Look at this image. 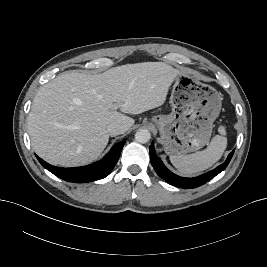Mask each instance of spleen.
Listing matches in <instances>:
<instances>
[{
    "instance_id": "obj_1",
    "label": "spleen",
    "mask_w": 267,
    "mask_h": 267,
    "mask_svg": "<svg viewBox=\"0 0 267 267\" xmlns=\"http://www.w3.org/2000/svg\"><path fill=\"white\" fill-rule=\"evenodd\" d=\"M218 131L220 135H216L205 150L190 155H171V163L188 176L211 167L221 158L227 146L225 127L220 126Z\"/></svg>"
}]
</instances>
